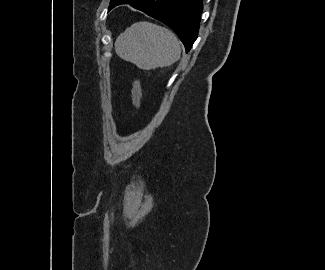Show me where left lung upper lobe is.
I'll return each mask as SVG.
<instances>
[{
    "instance_id": "5c2ea615",
    "label": "left lung upper lobe",
    "mask_w": 325,
    "mask_h": 270,
    "mask_svg": "<svg viewBox=\"0 0 325 270\" xmlns=\"http://www.w3.org/2000/svg\"><path fill=\"white\" fill-rule=\"evenodd\" d=\"M119 0H110L109 10L118 2Z\"/></svg>"
}]
</instances>
